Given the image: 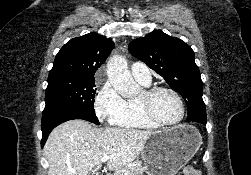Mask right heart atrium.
Here are the masks:
<instances>
[{"instance_id": "1", "label": "right heart atrium", "mask_w": 251, "mask_h": 175, "mask_svg": "<svg viewBox=\"0 0 251 175\" xmlns=\"http://www.w3.org/2000/svg\"><path fill=\"white\" fill-rule=\"evenodd\" d=\"M98 84L99 89L93 101L94 112L100 121L117 124L126 113L127 102L103 75L99 76Z\"/></svg>"}]
</instances>
